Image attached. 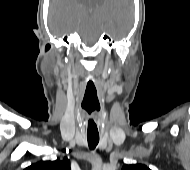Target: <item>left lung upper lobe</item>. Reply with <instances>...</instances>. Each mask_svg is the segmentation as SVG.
<instances>
[{"label":"left lung upper lobe","mask_w":190,"mask_h":170,"mask_svg":"<svg viewBox=\"0 0 190 170\" xmlns=\"http://www.w3.org/2000/svg\"><path fill=\"white\" fill-rule=\"evenodd\" d=\"M122 170H150L146 165L143 164H131V165H124Z\"/></svg>","instance_id":"obj_1"}]
</instances>
